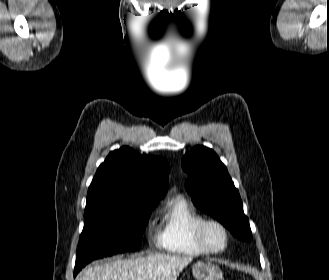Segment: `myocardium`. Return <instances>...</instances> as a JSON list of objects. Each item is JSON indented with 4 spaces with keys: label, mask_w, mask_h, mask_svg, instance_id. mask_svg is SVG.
Returning a JSON list of instances; mask_svg holds the SVG:
<instances>
[{
    "label": "myocardium",
    "mask_w": 329,
    "mask_h": 280,
    "mask_svg": "<svg viewBox=\"0 0 329 280\" xmlns=\"http://www.w3.org/2000/svg\"><path fill=\"white\" fill-rule=\"evenodd\" d=\"M209 226H216L223 232L224 237H225V242L221 248H213L207 242L205 233ZM194 235H195V240H196L198 246L202 250H204L206 253H209V254H220V253L224 252L229 246L230 232H229L228 228L220 220H217L214 218H204L203 220H201L195 228Z\"/></svg>",
    "instance_id": "obj_1"
}]
</instances>
